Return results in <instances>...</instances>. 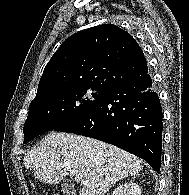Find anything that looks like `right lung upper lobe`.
<instances>
[{
  "instance_id": "obj_1",
  "label": "right lung upper lobe",
  "mask_w": 189,
  "mask_h": 195,
  "mask_svg": "<svg viewBox=\"0 0 189 195\" xmlns=\"http://www.w3.org/2000/svg\"><path fill=\"white\" fill-rule=\"evenodd\" d=\"M147 62L136 40L113 24L70 36L46 65L36 97L73 87L110 89L146 72Z\"/></svg>"
}]
</instances>
